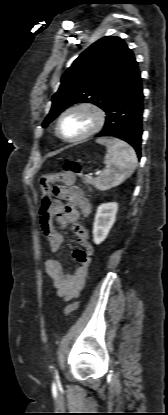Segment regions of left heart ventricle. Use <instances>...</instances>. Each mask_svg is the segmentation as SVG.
Returning a JSON list of instances; mask_svg holds the SVG:
<instances>
[{
    "mask_svg": "<svg viewBox=\"0 0 168 415\" xmlns=\"http://www.w3.org/2000/svg\"><path fill=\"white\" fill-rule=\"evenodd\" d=\"M94 119L86 110H76L68 113L61 122V130L65 137L74 138L87 132L93 125Z\"/></svg>",
    "mask_w": 168,
    "mask_h": 415,
    "instance_id": "obj_1",
    "label": "left heart ventricle"
}]
</instances>
